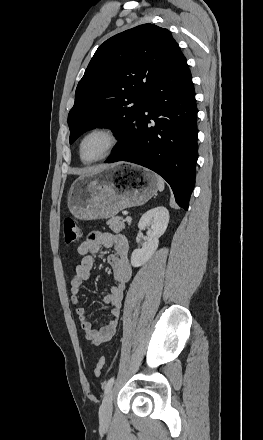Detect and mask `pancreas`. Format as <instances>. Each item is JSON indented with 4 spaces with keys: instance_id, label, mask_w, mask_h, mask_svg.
<instances>
[{
    "instance_id": "obj_1",
    "label": "pancreas",
    "mask_w": 263,
    "mask_h": 440,
    "mask_svg": "<svg viewBox=\"0 0 263 440\" xmlns=\"http://www.w3.org/2000/svg\"><path fill=\"white\" fill-rule=\"evenodd\" d=\"M124 219L120 216H116L108 220L107 224L109 225V228L115 232L119 233L125 228Z\"/></svg>"
}]
</instances>
